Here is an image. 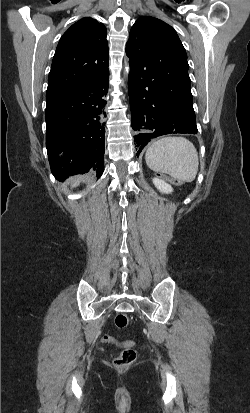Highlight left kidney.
<instances>
[{
	"instance_id": "left-kidney-1",
	"label": "left kidney",
	"mask_w": 250,
	"mask_h": 413,
	"mask_svg": "<svg viewBox=\"0 0 250 413\" xmlns=\"http://www.w3.org/2000/svg\"><path fill=\"white\" fill-rule=\"evenodd\" d=\"M153 183L155 185V187L161 192V193H172L173 192V188L171 187V185H169L168 183H166L164 180L159 179V178H153Z\"/></svg>"
}]
</instances>
